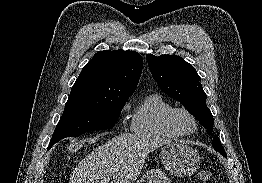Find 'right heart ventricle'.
Here are the masks:
<instances>
[{
	"mask_svg": "<svg viewBox=\"0 0 262 183\" xmlns=\"http://www.w3.org/2000/svg\"><path fill=\"white\" fill-rule=\"evenodd\" d=\"M174 109L158 93H151L136 107L131 124V130L137 134L177 139L181 137L168 123V116Z\"/></svg>",
	"mask_w": 262,
	"mask_h": 183,
	"instance_id": "1",
	"label": "right heart ventricle"
}]
</instances>
